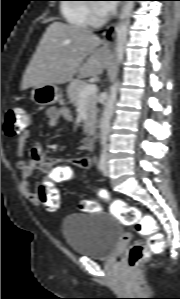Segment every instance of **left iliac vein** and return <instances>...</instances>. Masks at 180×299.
I'll return each instance as SVG.
<instances>
[{
  "instance_id": "1",
  "label": "left iliac vein",
  "mask_w": 180,
  "mask_h": 299,
  "mask_svg": "<svg viewBox=\"0 0 180 299\" xmlns=\"http://www.w3.org/2000/svg\"><path fill=\"white\" fill-rule=\"evenodd\" d=\"M104 175H105V176H108V175H109V164H108V162H106V165H105Z\"/></svg>"
}]
</instances>
